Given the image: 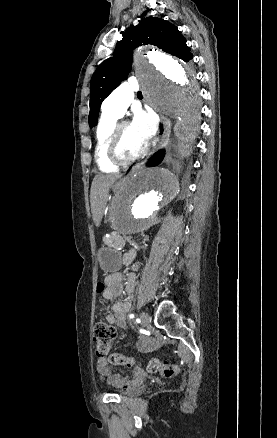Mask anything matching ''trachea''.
<instances>
[{
    "label": "trachea",
    "instance_id": "1",
    "mask_svg": "<svg viewBox=\"0 0 277 438\" xmlns=\"http://www.w3.org/2000/svg\"><path fill=\"white\" fill-rule=\"evenodd\" d=\"M138 95H141V92H138Z\"/></svg>",
    "mask_w": 277,
    "mask_h": 438
}]
</instances>
